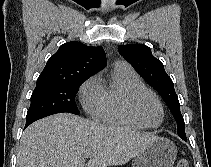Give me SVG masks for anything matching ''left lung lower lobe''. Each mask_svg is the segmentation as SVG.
I'll list each match as a JSON object with an SVG mask.
<instances>
[{
  "label": "left lung lower lobe",
  "instance_id": "1",
  "mask_svg": "<svg viewBox=\"0 0 211 167\" xmlns=\"http://www.w3.org/2000/svg\"><path fill=\"white\" fill-rule=\"evenodd\" d=\"M183 140H186V137H181Z\"/></svg>",
  "mask_w": 211,
  "mask_h": 167
}]
</instances>
